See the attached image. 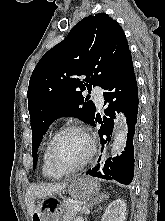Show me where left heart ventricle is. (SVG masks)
Masks as SVG:
<instances>
[{
  "instance_id": "obj_1",
  "label": "left heart ventricle",
  "mask_w": 165,
  "mask_h": 221,
  "mask_svg": "<svg viewBox=\"0 0 165 221\" xmlns=\"http://www.w3.org/2000/svg\"><path fill=\"white\" fill-rule=\"evenodd\" d=\"M89 151L84 134L71 131L60 136L53 147V160L59 168L67 169L80 163Z\"/></svg>"
}]
</instances>
